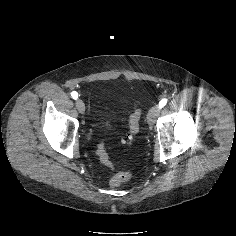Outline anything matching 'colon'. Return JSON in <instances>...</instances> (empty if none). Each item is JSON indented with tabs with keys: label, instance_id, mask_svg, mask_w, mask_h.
<instances>
[{
	"label": "colon",
	"instance_id": "colon-1",
	"mask_svg": "<svg viewBox=\"0 0 236 236\" xmlns=\"http://www.w3.org/2000/svg\"><path fill=\"white\" fill-rule=\"evenodd\" d=\"M141 114H142V110L138 108L134 111V113L130 117L129 126H130L131 138H134L139 132V121L141 118ZM96 154L102 164H104L105 166L111 169H114L113 163L109 159L108 153L106 151V145L104 142H100L97 145ZM131 177H132V174L129 171L116 172L110 179V185L113 187L120 186L121 184L130 180Z\"/></svg>",
	"mask_w": 236,
	"mask_h": 236
}]
</instances>
